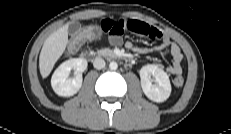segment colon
<instances>
[{"instance_id": "colon-1", "label": "colon", "mask_w": 231, "mask_h": 134, "mask_svg": "<svg viewBox=\"0 0 231 134\" xmlns=\"http://www.w3.org/2000/svg\"><path fill=\"white\" fill-rule=\"evenodd\" d=\"M102 29L100 26H88L83 29H81L69 42L67 51L70 54L75 53L80 46L88 39H94L97 38L102 34ZM174 85L176 87H181L184 84V78L181 76H178L173 81Z\"/></svg>"}]
</instances>
